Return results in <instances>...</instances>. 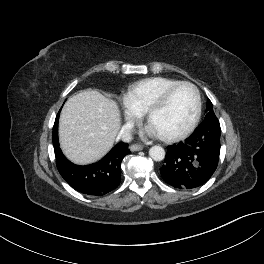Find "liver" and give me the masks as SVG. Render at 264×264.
<instances>
[{"label": "liver", "mask_w": 264, "mask_h": 264, "mask_svg": "<svg viewBox=\"0 0 264 264\" xmlns=\"http://www.w3.org/2000/svg\"><path fill=\"white\" fill-rule=\"evenodd\" d=\"M117 103L96 90L70 97L59 120L60 146L76 164L99 160L112 147L120 128Z\"/></svg>", "instance_id": "obj_1"}]
</instances>
